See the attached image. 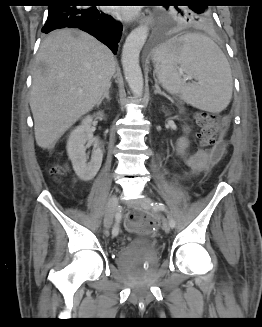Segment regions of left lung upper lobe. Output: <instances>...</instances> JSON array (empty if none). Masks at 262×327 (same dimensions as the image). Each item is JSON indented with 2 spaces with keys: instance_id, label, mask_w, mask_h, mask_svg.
<instances>
[{
  "instance_id": "obj_1",
  "label": "left lung upper lobe",
  "mask_w": 262,
  "mask_h": 327,
  "mask_svg": "<svg viewBox=\"0 0 262 327\" xmlns=\"http://www.w3.org/2000/svg\"><path fill=\"white\" fill-rule=\"evenodd\" d=\"M188 6H174L175 10L160 11L161 28H170L176 24L192 26H209L212 23V14L209 6L202 5L201 0H179ZM168 7V6H167Z\"/></svg>"
}]
</instances>
